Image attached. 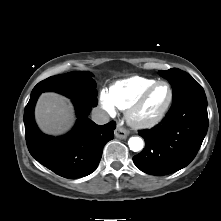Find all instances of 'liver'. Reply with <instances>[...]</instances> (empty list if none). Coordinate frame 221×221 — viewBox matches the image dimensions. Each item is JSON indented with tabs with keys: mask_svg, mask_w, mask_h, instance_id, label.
<instances>
[{
	"mask_svg": "<svg viewBox=\"0 0 221 221\" xmlns=\"http://www.w3.org/2000/svg\"><path fill=\"white\" fill-rule=\"evenodd\" d=\"M35 119L45 134L61 135L67 132L75 121L73 106L64 96L53 92L43 93L35 107Z\"/></svg>",
	"mask_w": 221,
	"mask_h": 221,
	"instance_id": "liver-1",
	"label": "liver"
}]
</instances>
